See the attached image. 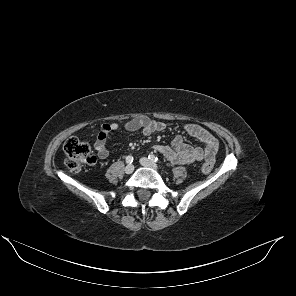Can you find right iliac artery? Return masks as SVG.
<instances>
[{
  "mask_svg": "<svg viewBox=\"0 0 296 296\" xmlns=\"http://www.w3.org/2000/svg\"><path fill=\"white\" fill-rule=\"evenodd\" d=\"M133 162V157L131 155L126 157V163L131 164Z\"/></svg>",
  "mask_w": 296,
  "mask_h": 296,
  "instance_id": "right-iliac-artery-1",
  "label": "right iliac artery"
}]
</instances>
